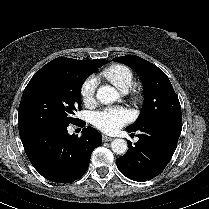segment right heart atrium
<instances>
[{"instance_id":"d8ad5b80","label":"right heart atrium","mask_w":209,"mask_h":209,"mask_svg":"<svg viewBox=\"0 0 209 209\" xmlns=\"http://www.w3.org/2000/svg\"><path fill=\"white\" fill-rule=\"evenodd\" d=\"M97 78L95 76L88 77L81 85L80 95L85 104L91 102L94 98L97 88Z\"/></svg>"}]
</instances>
